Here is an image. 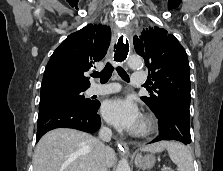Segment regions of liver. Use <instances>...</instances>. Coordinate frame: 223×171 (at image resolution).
Masks as SVG:
<instances>
[{
	"mask_svg": "<svg viewBox=\"0 0 223 171\" xmlns=\"http://www.w3.org/2000/svg\"><path fill=\"white\" fill-rule=\"evenodd\" d=\"M98 139L75 129L58 128L46 133L38 142L33 156V171H92ZM163 142L145 146L142 150L162 152ZM107 167L116 161L115 151L105 150Z\"/></svg>",
	"mask_w": 223,
	"mask_h": 171,
	"instance_id": "6515ba94",
	"label": "liver"
}]
</instances>
